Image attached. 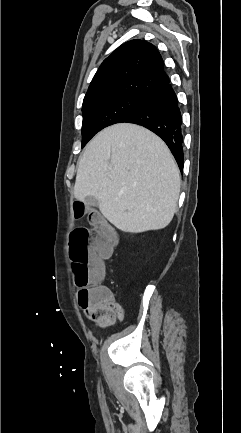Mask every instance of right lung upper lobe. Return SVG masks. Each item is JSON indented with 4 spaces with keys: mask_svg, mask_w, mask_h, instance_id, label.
<instances>
[{
    "mask_svg": "<svg viewBox=\"0 0 241 433\" xmlns=\"http://www.w3.org/2000/svg\"><path fill=\"white\" fill-rule=\"evenodd\" d=\"M167 82L169 77L156 47L147 41L131 40L103 61L83 102L124 92L149 94Z\"/></svg>",
    "mask_w": 241,
    "mask_h": 433,
    "instance_id": "obj_1",
    "label": "right lung upper lobe"
}]
</instances>
